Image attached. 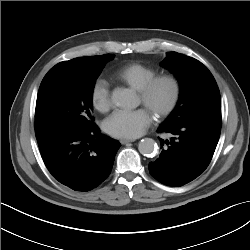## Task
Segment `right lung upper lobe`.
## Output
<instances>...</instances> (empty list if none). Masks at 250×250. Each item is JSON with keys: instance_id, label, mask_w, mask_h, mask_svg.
<instances>
[{"instance_id": "cb5924a9", "label": "right lung upper lobe", "mask_w": 250, "mask_h": 250, "mask_svg": "<svg viewBox=\"0 0 250 250\" xmlns=\"http://www.w3.org/2000/svg\"><path fill=\"white\" fill-rule=\"evenodd\" d=\"M99 56L80 57V58H75L69 61L60 62L48 71V73L45 75L42 82H45L49 78L54 77L62 72L87 68Z\"/></svg>"}]
</instances>
